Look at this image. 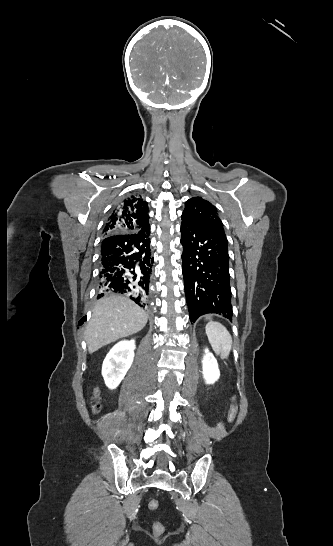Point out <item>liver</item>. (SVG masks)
I'll return each instance as SVG.
<instances>
[{
	"instance_id": "liver-1",
	"label": "liver",
	"mask_w": 333,
	"mask_h": 546,
	"mask_svg": "<svg viewBox=\"0 0 333 546\" xmlns=\"http://www.w3.org/2000/svg\"><path fill=\"white\" fill-rule=\"evenodd\" d=\"M147 319L145 311L125 297H102L96 302L85 330L89 353L141 331Z\"/></svg>"
}]
</instances>
